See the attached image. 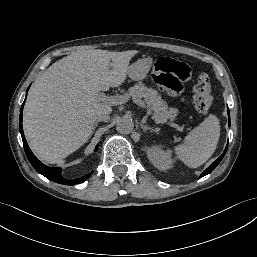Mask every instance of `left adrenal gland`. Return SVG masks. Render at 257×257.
<instances>
[{"instance_id":"left-adrenal-gland-1","label":"left adrenal gland","mask_w":257,"mask_h":257,"mask_svg":"<svg viewBox=\"0 0 257 257\" xmlns=\"http://www.w3.org/2000/svg\"><path fill=\"white\" fill-rule=\"evenodd\" d=\"M145 123H146V121L144 119L140 123V126H141V128L143 129L144 132H146L147 130L154 131V132H158L159 131L158 128H156V129L151 128L150 126H148Z\"/></svg>"}]
</instances>
